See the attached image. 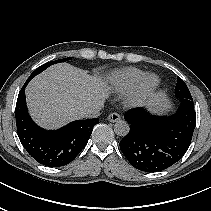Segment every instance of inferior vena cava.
I'll return each mask as SVG.
<instances>
[{"label": "inferior vena cava", "mask_w": 211, "mask_h": 211, "mask_svg": "<svg viewBox=\"0 0 211 211\" xmlns=\"http://www.w3.org/2000/svg\"><path fill=\"white\" fill-rule=\"evenodd\" d=\"M102 109L103 103L94 104L83 112V116L86 118H96L101 115Z\"/></svg>", "instance_id": "1"}]
</instances>
